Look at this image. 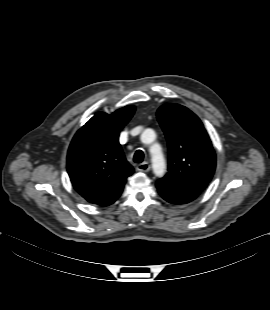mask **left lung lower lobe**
<instances>
[{
	"instance_id": "1",
	"label": "left lung lower lobe",
	"mask_w": 270,
	"mask_h": 310,
	"mask_svg": "<svg viewBox=\"0 0 270 310\" xmlns=\"http://www.w3.org/2000/svg\"><path fill=\"white\" fill-rule=\"evenodd\" d=\"M159 194L172 204H186L197 198L202 190L178 187L164 181L156 183Z\"/></svg>"
}]
</instances>
